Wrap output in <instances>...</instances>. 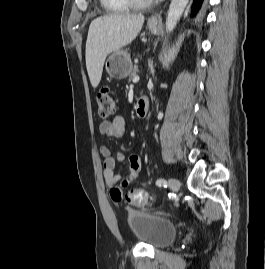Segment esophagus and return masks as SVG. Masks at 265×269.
Segmentation results:
<instances>
[{
	"label": "esophagus",
	"mask_w": 265,
	"mask_h": 269,
	"mask_svg": "<svg viewBox=\"0 0 265 269\" xmlns=\"http://www.w3.org/2000/svg\"><path fill=\"white\" fill-rule=\"evenodd\" d=\"M150 21L156 22L157 21V18L156 17H151Z\"/></svg>",
	"instance_id": "1"
}]
</instances>
